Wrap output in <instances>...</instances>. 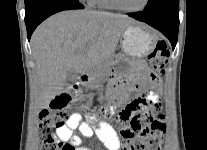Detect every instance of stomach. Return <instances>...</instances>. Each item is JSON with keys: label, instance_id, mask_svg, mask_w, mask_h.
Instances as JSON below:
<instances>
[{"label": "stomach", "instance_id": "obj_1", "mask_svg": "<svg viewBox=\"0 0 207 150\" xmlns=\"http://www.w3.org/2000/svg\"><path fill=\"white\" fill-rule=\"evenodd\" d=\"M156 43V33L144 24H132L128 26L121 40L123 53L132 59H142L148 56ZM117 84L109 83L105 88V96L117 91Z\"/></svg>", "mask_w": 207, "mask_h": 150}]
</instances>
